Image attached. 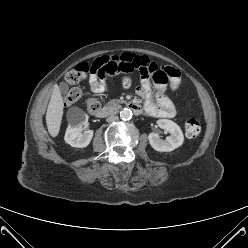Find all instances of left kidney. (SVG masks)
<instances>
[{
	"mask_svg": "<svg viewBox=\"0 0 248 248\" xmlns=\"http://www.w3.org/2000/svg\"><path fill=\"white\" fill-rule=\"evenodd\" d=\"M157 124L160 128L171 133V135L165 140H162L158 134L150 133L148 139L154 150L159 152H170L183 144L184 136L182 130L175 122L168 119H159Z\"/></svg>",
	"mask_w": 248,
	"mask_h": 248,
	"instance_id": "1",
	"label": "left kidney"
}]
</instances>
